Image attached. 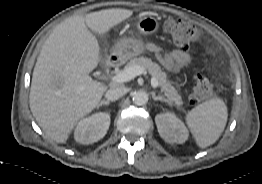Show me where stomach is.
Segmentation results:
<instances>
[{
  "instance_id": "stomach-1",
  "label": "stomach",
  "mask_w": 262,
  "mask_h": 184,
  "mask_svg": "<svg viewBox=\"0 0 262 184\" xmlns=\"http://www.w3.org/2000/svg\"><path fill=\"white\" fill-rule=\"evenodd\" d=\"M135 27L141 36H148L157 32L159 22L150 14L140 15ZM145 51L144 41L141 37H128L118 41L112 49L111 57L120 61H126L136 57Z\"/></svg>"
}]
</instances>
